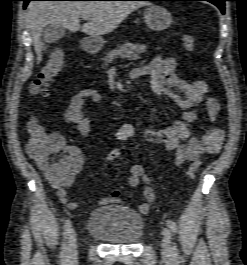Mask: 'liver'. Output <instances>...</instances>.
<instances>
[{
	"instance_id": "liver-1",
	"label": "liver",
	"mask_w": 247,
	"mask_h": 265,
	"mask_svg": "<svg viewBox=\"0 0 247 265\" xmlns=\"http://www.w3.org/2000/svg\"><path fill=\"white\" fill-rule=\"evenodd\" d=\"M149 5L142 1H31L25 19L31 31L37 61L46 49L41 41L43 29L49 25L63 26L71 32L81 31L91 37H100L114 31L136 9ZM90 21L80 26V18Z\"/></svg>"
}]
</instances>
